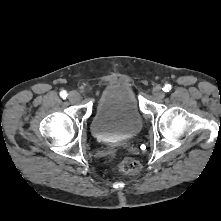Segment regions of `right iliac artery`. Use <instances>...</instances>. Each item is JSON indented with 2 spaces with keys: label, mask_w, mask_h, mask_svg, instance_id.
I'll use <instances>...</instances> for the list:
<instances>
[{
  "label": "right iliac artery",
  "mask_w": 221,
  "mask_h": 221,
  "mask_svg": "<svg viewBox=\"0 0 221 221\" xmlns=\"http://www.w3.org/2000/svg\"><path fill=\"white\" fill-rule=\"evenodd\" d=\"M60 96L65 99L67 97V92L65 90L60 92Z\"/></svg>",
  "instance_id": "1"
}]
</instances>
